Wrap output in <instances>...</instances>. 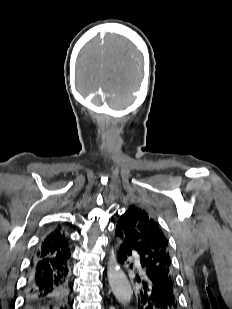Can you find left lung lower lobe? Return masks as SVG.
Returning a JSON list of instances; mask_svg holds the SVG:
<instances>
[{
	"mask_svg": "<svg viewBox=\"0 0 232 309\" xmlns=\"http://www.w3.org/2000/svg\"><path fill=\"white\" fill-rule=\"evenodd\" d=\"M115 235L119 238L116 242L117 261L121 265L128 264L127 260L133 251L118 230H115ZM135 280L140 285L138 309H178V300L173 297L171 289L159 273L141 263Z\"/></svg>",
	"mask_w": 232,
	"mask_h": 309,
	"instance_id": "0a47b994",
	"label": "left lung lower lobe"
}]
</instances>
